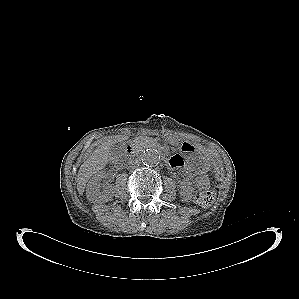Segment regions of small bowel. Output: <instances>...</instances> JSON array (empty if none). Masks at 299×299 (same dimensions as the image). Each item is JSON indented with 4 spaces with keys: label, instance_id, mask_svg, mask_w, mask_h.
<instances>
[{
    "label": "small bowel",
    "instance_id": "obj_1",
    "mask_svg": "<svg viewBox=\"0 0 299 299\" xmlns=\"http://www.w3.org/2000/svg\"><path fill=\"white\" fill-rule=\"evenodd\" d=\"M169 164L174 168H182L184 166V161L180 155H175L172 158H170ZM185 174L188 177H191V172L189 170H185Z\"/></svg>",
    "mask_w": 299,
    "mask_h": 299
}]
</instances>
